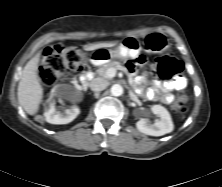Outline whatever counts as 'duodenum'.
<instances>
[{
  "label": "duodenum",
  "mask_w": 222,
  "mask_h": 187,
  "mask_svg": "<svg viewBox=\"0 0 222 187\" xmlns=\"http://www.w3.org/2000/svg\"><path fill=\"white\" fill-rule=\"evenodd\" d=\"M93 77V73L89 70L83 72L80 76V81L82 85H85L88 81H90Z\"/></svg>",
  "instance_id": "1"
}]
</instances>
